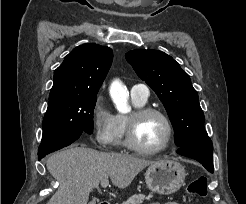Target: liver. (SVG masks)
I'll return each instance as SVG.
<instances>
[{
    "instance_id": "6515ba94",
    "label": "liver",
    "mask_w": 246,
    "mask_h": 204,
    "mask_svg": "<svg viewBox=\"0 0 246 204\" xmlns=\"http://www.w3.org/2000/svg\"><path fill=\"white\" fill-rule=\"evenodd\" d=\"M154 161L120 153L72 147L51 155L47 169L59 188L47 204H87L90 192L110 177L118 188L128 187Z\"/></svg>"
}]
</instances>
